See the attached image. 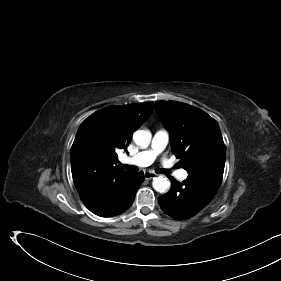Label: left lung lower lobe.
Returning <instances> with one entry per match:
<instances>
[{"instance_id": "obj_1", "label": "left lung lower lobe", "mask_w": 281, "mask_h": 281, "mask_svg": "<svg viewBox=\"0 0 281 281\" xmlns=\"http://www.w3.org/2000/svg\"><path fill=\"white\" fill-rule=\"evenodd\" d=\"M172 186L158 198L161 209L170 217L185 220L201 211L216 195L220 185L200 176L188 175L182 183L169 176Z\"/></svg>"}]
</instances>
